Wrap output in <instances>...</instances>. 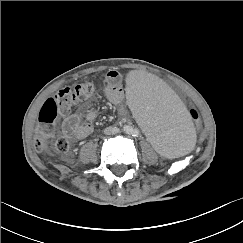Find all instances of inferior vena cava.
Wrapping results in <instances>:
<instances>
[{"label": "inferior vena cava", "mask_w": 243, "mask_h": 243, "mask_svg": "<svg viewBox=\"0 0 243 243\" xmlns=\"http://www.w3.org/2000/svg\"><path fill=\"white\" fill-rule=\"evenodd\" d=\"M119 132V128L117 127H107L104 130V133L107 135H113Z\"/></svg>", "instance_id": "inferior-vena-cava-1"}]
</instances>
